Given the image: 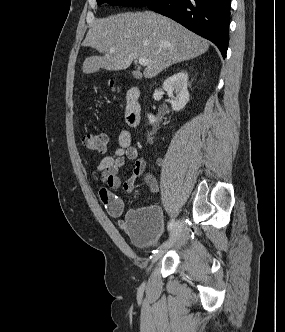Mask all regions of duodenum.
I'll list each match as a JSON object with an SVG mask.
<instances>
[{"label": "duodenum", "instance_id": "duodenum-1", "mask_svg": "<svg viewBox=\"0 0 285 332\" xmlns=\"http://www.w3.org/2000/svg\"><path fill=\"white\" fill-rule=\"evenodd\" d=\"M140 90L130 87L126 93L125 121L130 127H137L141 121Z\"/></svg>", "mask_w": 285, "mask_h": 332}]
</instances>
